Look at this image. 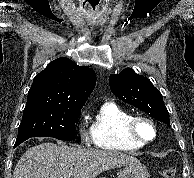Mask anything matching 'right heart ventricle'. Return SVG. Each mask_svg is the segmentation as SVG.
<instances>
[{
	"instance_id": "1",
	"label": "right heart ventricle",
	"mask_w": 194,
	"mask_h": 178,
	"mask_svg": "<svg viewBox=\"0 0 194 178\" xmlns=\"http://www.w3.org/2000/svg\"><path fill=\"white\" fill-rule=\"evenodd\" d=\"M131 113L113 102H105L92 120L90 127L93 144L101 149L135 151L143 145L132 141L125 134V124Z\"/></svg>"
}]
</instances>
